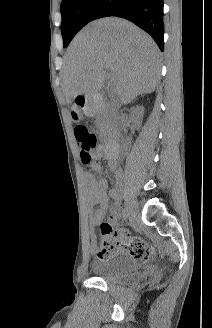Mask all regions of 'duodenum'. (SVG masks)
Here are the masks:
<instances>
[{
  "label": "duodenum",
  "instance_id": "duodenum-1",
  "mask_svg": "<svg viewBox=\"0 0 212 328\" xmlns=\"http://www.w3.org/2000/svg\"><path fill=\"white\" fill-rule=\"evenodd\" d=\"M78 106L88 113H95L100 108V102L95 97H81ZM104 155L110 160L111 167L116 165L119 154V137L112 136L107 139L103 147Z\"/></svg>",
  "mask_w": 212,
  "mask_h": 328
}]
</instances>
